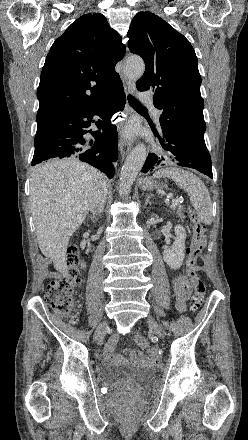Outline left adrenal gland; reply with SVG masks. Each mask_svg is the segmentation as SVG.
<instances>
[{
  "label": "left adrenal gland",
  "instance_id": "1",
  "mask_svg": "<svg viewBox=\"0 0 248 440\" xmlns=\"http://www.w3.org/2000/svg\"><path fill=\"white\" fill-rule=\"evenodd\" d=\"M147 204H151V202H150V198H149V197H147V198L145 199L144 207H146Z\"/></svg>",
  "mask_w": 248,
  "mask_h": 440
}]
</instances>
